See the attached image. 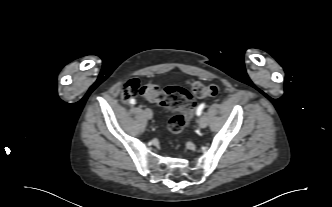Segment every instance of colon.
<instances>
[{"label":"colon","instance_id":"5ec220e1","mask_svg":"<svg viewBox=\"0 0 332 207\" xmlns=\"http://www.w3.org/2000/svg\"><path fill=\"white\" fill-rule=\"evenodd\" d=\"M189 86L192 94L197 98L216 96L219 93V87L215 84L204 85L193 81L189 83ZM192 94L182 87L159 89L153 84L140 85L137 79L129 80L122 92L125 100L140 95L161 107L178 111V114L174 115L168 123V128L173 134L181 133L193 116L195 102Z\"/></svg>","mask_w":332,"mask_h":207}]
</instances>
